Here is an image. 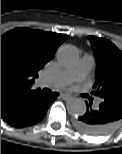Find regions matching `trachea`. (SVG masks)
I'll return each instance as SVG.
<instances>
[{
    "label": "trachea",
    "instance_id": "3493384b",
    "mask_svg": "<svg viewBox=\"0 0 122 154\" xmlns=\"http://www.w3.org/2000/svg\"><path fill=\"white\" fill-rule=\"evenodd\" d=\"M44 92H46V93H47L48 91H47L46 89H44Z\"/></svg>",
    "mask_w": 122,
    "mask_h": 154
}]
</instances>
